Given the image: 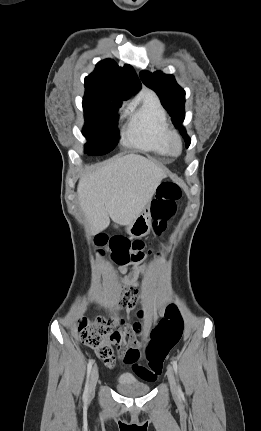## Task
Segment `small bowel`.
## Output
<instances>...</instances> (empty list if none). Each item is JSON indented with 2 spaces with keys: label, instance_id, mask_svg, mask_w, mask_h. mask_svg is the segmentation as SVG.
<instances>
[{
  "label": "small bowel",
  "instance_id": "obj_1",
  "mask_svg": "<svg viewBox=\"0 0 261 431\" xmlns=\"http://www.w3.org/2000/svg\"><path fill=\"white\" fill-rule=\"evenodd\" d=\"M124 269L122 268L121 271H123ZM145 271L144 268H132L131 272L124 278H122V281L126 284L129 285H134L137 283V278L139 276V274L143 273ZM124 295V299H123V304L126 306V309L129 312H132L136 306H138V304L141 302L142 300V295H139V291L136 290V286H130V289H126L123 292ZM117 302H120V299H117ZM129 312H122V317H129ZM144 313H146V310H144V305H139V310H137L136 312V317H138V319H134V321L132 323H130V325H127V323H125L123 321V325L121 327L122 331L127 332V336L129 338V341L131 343L132 346L136 347L139 345V341L137 340V338L135 337L136 334L137 336H140V329L137 327H141L140 320L141 318L144 317ZM153 317L155 319H158L160 317V313L159 312H155L153 314ZM137 326V327H136ZM134 329V330H132ZM129 361L134 362L133 358H131L129 356L128 358Z\"/></svg>",
  "mask_w": 261,
  "mask_h": 431
}]
</instances>
